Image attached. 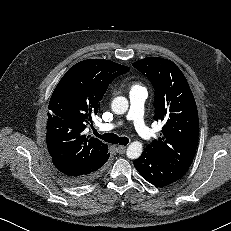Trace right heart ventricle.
<instances>
[{
	"instance_id": "obj_1",
	"label": "right heart ventricle",
	"mask_w": 231,
	"mask_h": 231,
	"mask_svg": "<svg viewBox=\"0 0 231 231\" xmlns=\"http://www.w3.org/2000/svg\"><path fill=\"white\" fill-rule=\"evenodd\" d=\"M135 89H142V87H141V85H139V84H133V85L131 86V90H130V91L135 90Z\"/></svg>"
}]
</instances>
